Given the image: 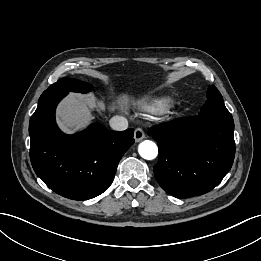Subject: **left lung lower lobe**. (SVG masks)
<instances>
[{"instance_id":"0a47b994","label":"left lung lower lobe","mask_w":261,"mask_h":261,"mask_svg":"<svg viewBox=\"0 0 261 261\" xmlns=\"http://www.w3.org/2000/svg\"><path fill=\"white\" fill-rule=\"evenodd\" d=\"M159 147L153 171L169 194L187 198L211 191L232 167L235 156L232 117L196 115L152 127Z\"/></svg>"}]
</instances>
